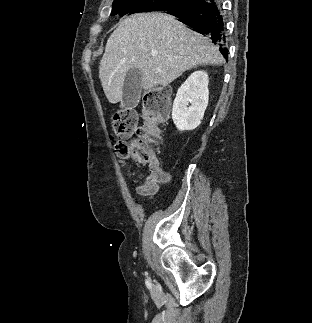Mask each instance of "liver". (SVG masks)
<instances>
[{"instance_id":"obj_1","label":"liver","mask_w":312,"mask_h":323,"mask_svg":"<svg viewBox=\"0 0 312 323\" xmlns=\"http://www.w3.org/2000/svg\"><path fill=\"white\" fill-rule=\"evenodd\" d=\"M201 64H225L211 40L189 30L170 14H132L120 20L111 34L100 62L99 78L108 102L117 104L131 68L142 70V88L151 90L168 86Z\"/></svg>"}]
</instances>
